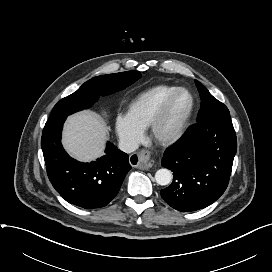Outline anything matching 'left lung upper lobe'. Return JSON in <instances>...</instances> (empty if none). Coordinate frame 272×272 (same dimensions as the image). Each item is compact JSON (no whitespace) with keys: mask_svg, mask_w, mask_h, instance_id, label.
Masks as SVG:
<instances>
[{"mask_svg":"<svg viewBox=\"0 0 272 272\" xmlns=\"http://www.w3.org/2000/svg\"><path fill=\"white\" fill-rule=\"evenodd\" d=\"M201 98V108L197 116V122L210 118L230 115L228 108L214 98L209 91L197 80H195Z\"/></svg>","mask_w":272,"mask_h":272,"instance_id":"obj_1","label":"left lung upper lobe"}]
</instances>
